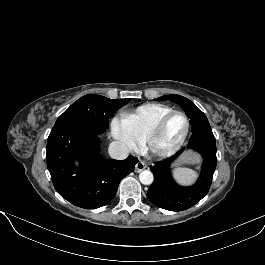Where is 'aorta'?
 <instances>
[{"label": "aorta", "instance_id": "obj_1", "mask_svg": "<svg viewBox=\"0 0 265 265\" xmlns=\"http://www.w3.org/2000/svg\"><path fill=\"white\" fill-rule=\"evenodd\" d=\"M139 180L144 185H150L154 180L153 173L149 170L142 171L139 174Z\"/></svg>", "mask_w": 265, "mask_h": 265}]
</instances>
